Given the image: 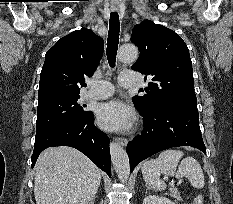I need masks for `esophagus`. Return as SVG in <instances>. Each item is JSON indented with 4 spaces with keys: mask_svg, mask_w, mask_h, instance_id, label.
Segmentation results:
<instances>
[{
    "mask_svg": "<svg viewBox=\"0 0 233 204\" xmlns=\"http://www.w3.org/2000/svg\"><path fill=\"white\" fill-rule=\"evenodd\" d=\"M112 10L116 12V11H118V8L114 6V7H112ZM115 141H116L117 143H119L120 145H122V146H126L127 143H128L127 139L124 138V137H117V138L115 139Z\"/></svg>",
    "mask_w": 233,
    "mask_h": 204,
    "instance_id": "obj_1",
    "label": "esophagus"
}]
</instances>
